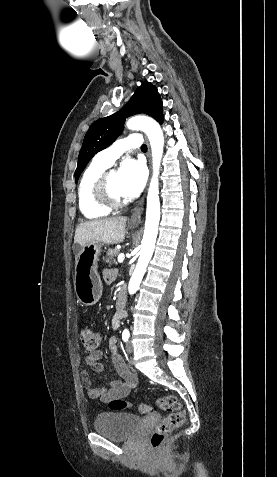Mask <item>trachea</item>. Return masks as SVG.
I'll return each instance as SVG.
<instances>
[{
  "instance_id": "trachea-1",
  "label": "trachea",
  "mask_w": 277,
  "mask_h": 477,
  "mask_svg": "<svg viewBox=\"0 0 277 477\" xmlns=\"http://www.w3.org/2000/svg\"><path fill=\"white\" fill-rule=\"evenodd\" d=\"M141 150H142V151H147V146H146L145 144H143V145L141 146Z\"/></svg>"
}]
</instances>
